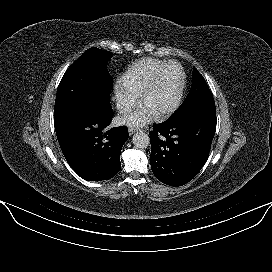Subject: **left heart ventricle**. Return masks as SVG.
<instances>
[{"label": "left heart ventricle", "instance_id": "1", "mask_svg": "<svg viewBox=\"0 0 272 272\" xmlns=\"http://www.w3.org/2000/svg\"><path fill=\"white\" fill-rule=\"evenodd\" d=\"M180 81V69L176 66L170 67L144 104L155 114L168 108L175 101Z\"/></svg>", "mask_w": 272, "mask_h": 272}]
</instances>
